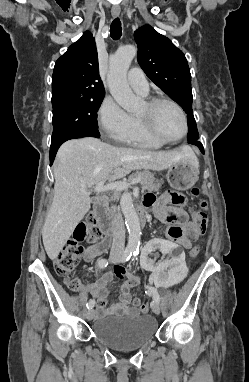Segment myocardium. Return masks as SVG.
I'll list each match as a JSON object with an SVG mask.
<instances>
[{"label":"myocardium","instance_id":"myocardium-1","mask_svg":"<svg viewBox=\"0 0 249 382\" xmlns=\"http://www.w3.org/2000/svg\"><path fill=\"white\" fill-rule=\"evenodd\" d=\"M160 104H169L173 106L178 113L181 116L182 122H183V133L181 136L175 139H169L165 138L162 135L159 134L157 131L152 113L154 109L159 106ZM146 105L148 107V114L146 116H138V119L143 127V130L145 133L150 136L155 141L162 143V144H174L180 142L188 133V119L187 115L184 111V109L174 100L166 98V97H155L146 102Z\"/></svg>","mask_w":249,"mask_h":382}]
</instances>
